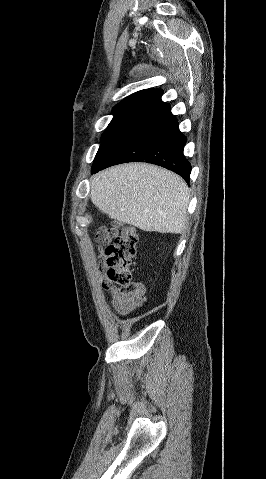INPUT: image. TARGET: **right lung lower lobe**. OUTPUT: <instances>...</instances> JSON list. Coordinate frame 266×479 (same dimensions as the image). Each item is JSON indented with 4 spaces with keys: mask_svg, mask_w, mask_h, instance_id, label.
<instances>
[{
    "mask_svg": "<svg viewBox=\"0 0 266 479\" xmlns=\"http://www.w3.org/2000/svg\"><path fill=\"white\" fill-rule=\"evenodd\" d=\"M186 137L170 105L157 100L137 113L95 159L91 172L125 162H147L165 167L187 183L191 165L183 154Z\"/></svg>",
    "mask_w": 266,
    "mask_h": 479,
    "instance_id": "right-lung-lower-lobe-1",
    "label": "right lung lower lobe"
}]
</instances>
